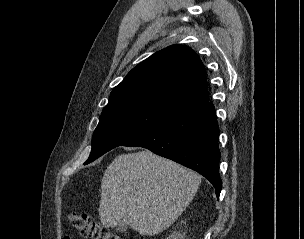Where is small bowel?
Here are the masks:
<instances>
[{"label":"small bowel","mask_w":304,"mask_h":239,"mask_svg":"<svg viewBox=\"0 0 304 239\" xmlns=\"http://www.w3.org/2000/svg\"><path fill=\"white\" fill-rule=\"evenodd\" d=\"M63 239H73V238H72V237L67 236V237H64Z\"/></svg>","instance_id":"small-bowel-1"}]
</instances>
